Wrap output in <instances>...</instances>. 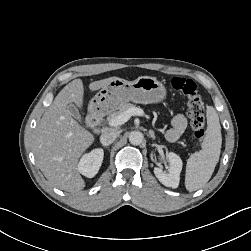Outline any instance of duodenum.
I'll return each instance as SVG.
<instances>
[{"label":"duodenum","mask_w":251,"mask_h":251,"mask_svg":"<svg viewBox=\"0 0 251 251\" xmlns=\"http://www.w3.org/2000/svg\"><path fill=\"white\" fill-rule=\"evenodd\" d=\"M101 122V115L99 113H93L89 116L88 123L93 127L98 129Z\"/></svg>","instance_id":"1"}]
</instances>
